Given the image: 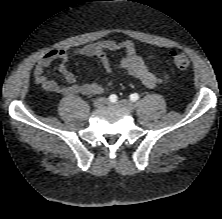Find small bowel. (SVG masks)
<instances>
[{"label": "small bowel", "instance_id": "1", "mask_svg": "<svg viewBox=\"0 0 222 219\" xmlns=\"http://www.w3.org/2000/svg\"><path fill=\"white\" fill-rule=\"evenodd\" d=\"M124 50L125 56L121 59L118 67L135 78L142 85L153 88L162 82L169 80V74H158L152 70L136 51V46L131 40L117 42L114 40H101L86 44L81 47H60L47 52L37 62L33 71V80L44 91L57 94H84L99 95L104 93L112 84L108 81L106 85L99 82L79 84L75 75L68 69L67 61L71 56L96 57L108 74H112L114 68L107 56V52ZM60 61L58 70L63 77L64 83H59L49 76L48 68L54 61Z\"/></svg>", "mask_w": 222, "mask_h": 219}]
</instances>
